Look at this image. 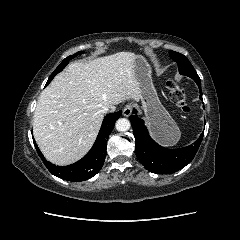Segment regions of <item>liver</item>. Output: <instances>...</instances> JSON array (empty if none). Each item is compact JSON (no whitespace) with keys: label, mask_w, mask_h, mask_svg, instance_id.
I'll use <instances>...</instances> for the list:
<instances>
[{"label":"liver","mask_w":240,"mask_h":240,"mask_svg":"<svg viewBox=\"0 0 240 240\" xmlns=\"http://www.w3.org/2000/svg\"><path fill=\"white\" fill-rule=\"evenodd\" d=\"M136 55L118 52L75 62L53 79L37 102L33 134L41 152L56 165H69L92 147L107 106L142 99L134 75Z\"/></svg>","instance_id":"6515ba94"}]
</instances>
